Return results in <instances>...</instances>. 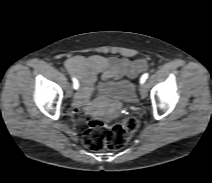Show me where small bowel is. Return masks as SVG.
<instances>
[{
    "label": "small bowel",
    "mask_w": 212,
    "mask_h": 183,
    "mask_svg": "<svg viewBox=\"0 0 212 183\" xmlns=\"http://www.w3.org/2000/svg\"><path fill=\"white\" fill-rule=\"evenodd\" d=\"M64 67L80 81V91L73 101L74 107L78 108L87 102L99 74L103 80L135 78L147 69L148 64L143 59L129 60L115 56L76 55L66 59Z\"/></svg>",
    "instance_id": "small-bowel-1"
}]
</instances>
